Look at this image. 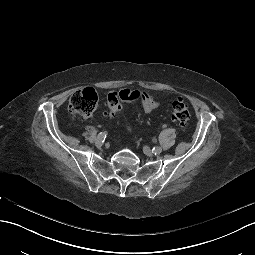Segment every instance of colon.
Returning a JSON list of instances; mask_svg holds the SVG:
<instances>
[{
  "label": "colon",
  "mask_w": 255,
  "mask_h": 255,
  "mask_svg": "<svg viewBox=\"0 0 255 255\" xmlns=\"http://www.w3.org/2000/svg\"><path fill=\"white\" fill-rule=\"evenodd\" d=\"M141 97V92L138 90L123 89L118 92H111L107 96V106L109 113L114 114L120 108V105L124 101H136ZM98 104V95L92 88H85L75 92L68 104V109L73 114L81 116H89L96 109ZM172 118L179 125H184L189 117V109L187 105L180 100H176L172 103L171 110Z\"/></svg>",
  "instance_id": "5ec220e1"
}]
</instances>
